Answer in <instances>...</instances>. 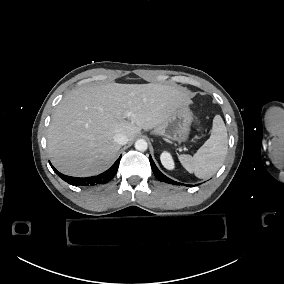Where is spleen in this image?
Segmentation results:
<instances>
[{
    "label": "spleen",
    "mask_w": 284,
    "mask_h": 284,
    "mask_svg": "<svg viewBox=\"0 0 284 284\" xmlns=\"http://www.w3.org/2000/svg\"><path fill=\"white\" fill-rule=\"evenodd\" d=\"M228 151V134L220 115L213 119L210 138L191 155H180L178 158L183 167L196 177L205 179L214 175L222 166Z\"/></svg>",
    "instance_id": "spleen-1"
}]
</instances>
